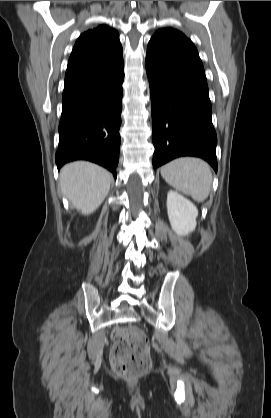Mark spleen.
Wrapping results in <instances>:
<instances>
[{
    "mask_svg": "<svg viewBox=\"0 0 271 418\" xmlns=\"http://www.w3.org/2000/svg\"><path fill=\"white\" fill-rule=\"evenodd\" d=\"M161 176L174 189L203 202L212 189V173L204 160L194 157L175 159L161 167Z\"/></svg>",
    "mask_w": 271,
    "mask_h": 418,
    "instance_id": "3e777b00",
    "label": "spleen"
}]
</instances>
